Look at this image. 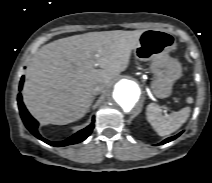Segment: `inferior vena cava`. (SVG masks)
<instances>
[{
    "label": "inferior vena cava",
    "instance_id": "1",
    "mask_svg": "<svg viewBox=\"0 0 212 183\" xmlns=\"http://www.w3.org/2000/svg\"><path fill=\"white\" fill-rule=\"evenodd\" d=\"M104 88V85L103 84H100V85H96L93 89V95H97L99 94Z\"/></svg>",
    "mask_w": 212,
    "mask_h": 183
}]
</instances>
